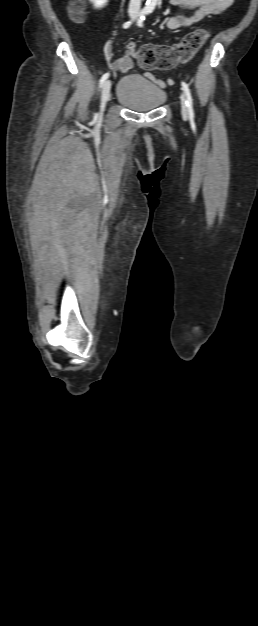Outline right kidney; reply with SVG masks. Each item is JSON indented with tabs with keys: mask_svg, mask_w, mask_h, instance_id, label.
Wrapping results in <instances>:
<instances>
[{
	"mask_svg": "<svg viewBox=\"0 0 258 626\" xmlns=\"http://www.w3.org/2000/svg\"><path fill=\"white\" fill-rule=\"evenodd\" d=\"M90 1L93 3L96 9L103 8L108 2V0H90Z\"/></svg>",
	"mask_w": 258,
	"mask_h": 626,
	"instance_id": "right-kidney-1",
	"label": "right kidney"
}]
</instances>
